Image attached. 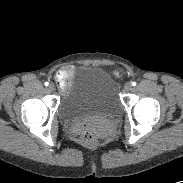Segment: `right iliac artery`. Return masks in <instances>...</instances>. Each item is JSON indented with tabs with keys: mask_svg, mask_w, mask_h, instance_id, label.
Masks as SVG:
<instances>
[{
	"mask_svg": "<svg viewBox=\"0 0 183 183\" xmlns=\"http://www.w3.org/2000/svg\"><path fill=\"white\" fill-rule=\"evenodd\" d=\"M44 85H45V86H48V85H49V83H48V82H45V83H44Z\"/></svg>",
	"mask_w": 183,
	"mask_h": 183,
	"instance_id": "82829eb1",
	"label": "right iliac artery"
}]
</instances>
